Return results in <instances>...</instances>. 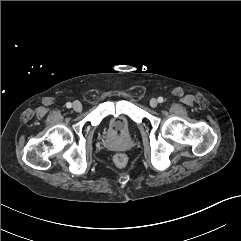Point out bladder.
<instances>
[{
	"label": "bladder",
	"mask_w": 241,
	"mask_h": 241,
	"mask_svg": "<svg viewBox=\"0 0 241 241\" xmlns=\"http://www.w3.org/2000/svg\"><path fill=\"white\" fill-rule=\"evenodd\" d=\"M108 128L115 134L124 135L129 132V122L124 117H111L108 121Z\"/></svg>",
	"instance_id": "31cf9c89"
}]
</instances>
